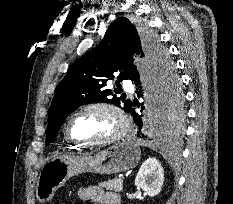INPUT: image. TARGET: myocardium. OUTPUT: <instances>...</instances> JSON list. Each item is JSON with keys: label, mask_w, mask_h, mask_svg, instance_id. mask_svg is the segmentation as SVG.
I'll use <instances>...</instances> for the list:
<instances>
[{"label": "myocardium", "mask_w": 233, "mask_h": 204, "mask_svg": "<svg viewBox=\"0 0 233 204\" xmlns=\"http://www.w3.org/2000/svg\"><path fill=\"white\" fill-rule=\"evenodd\" d=\"M90 110H104L107 112H110L117 120L118 122V128L117 130L110 135L109 137L101 140H96V141H91V140H83V139H78L72 136L70 132V125L73 119ZM130 127V121L128 119L127 114L124 112V110L119 107L117 104L109 101H96V102H91L88 104H85L79 108H77L75 111H73L70 116L67 118L65 125H64V134L66 138L72 142H75L79 145L82 146H107L110 144H113L123 138Z\"/></svg>", "instance_id": "1"}]
</instances>
